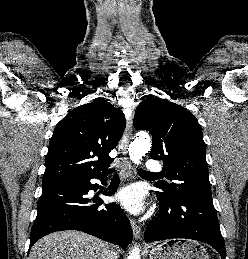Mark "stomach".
Here are the masks:
<instances>
[{"label":"stomach","mask_w":248,"mask_h":259,"mask_svg":"<svg viewBox=\"0 0 248 259\" xmlns=\"http://www.w3.org/2000/svg\"><path fill=\"white\" fill-rule=\"evenodd\" d=\"M150 259H209L206 249L189 239H170L149 250Z\"/></svg>","instance_id":"1"}]
</instances>
